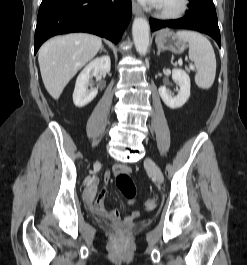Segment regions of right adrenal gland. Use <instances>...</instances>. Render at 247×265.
I'll return each instance as SVG.
<instances>
[{"instance_id":"2a0ac1e0","label":"right adrenal gland","mask_w":247,"mask_h":265,"mask_svg":"<svg viewBox=\"0 0 247 265\" xmlns=\"http://www.w3.org/2000/svg\"><path fill=\"white\" fill-rule=\"evenodd\" d=\"M102 51H104V52H106L107 53V51L104 49V47L102 46V48L100 49V52H102Z\"/></svg>"}]
</instances>
